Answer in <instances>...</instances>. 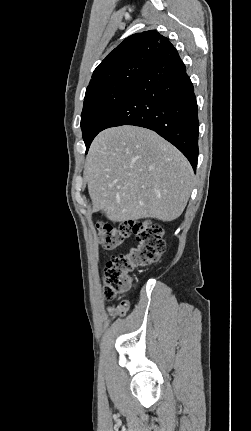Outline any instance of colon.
<instances>
[{
  "mask_svg": "<svg viewBox=\"0 0 251 431\" xmlns=\"http://www.w3.org/2000/svg\"><path fill=\"white\" fill-rule=\"evenodd\" d=\"M97 230L100 244L108 250L121 246L132 233L137 240L128 252L115 256L106 263L103 283L104 294L108 299L123 293L129 286L131 274L138 268L157 262L165 250L163 228L149 220L118 225L99 222ZM127 310L126 301L110 308L113 315L119 316H123Z\"/></svg>",
  "mask_w": 251,
  "mask_h": 431,
  "instance_id": "obj_1",
  "label": "colon"
}]
</instances>
